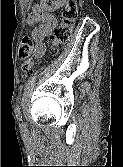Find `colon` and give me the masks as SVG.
Listing matches in <instances>:
<instances>
[{
  "label": "colon",
  "instance_id": "colon-1",
  "mask_svg": "<svg viewBox=\"0 0 123 167\" xmlns=\"http://www.w3.org/2000/svg\"><path fill=\"white\" fill-rule=\"evenodd\" d=\"M77 16L78 7L76 0H68L62 12L60 23L54 32L52 39L53 49L61 48L69 42ZM32 50V39L29 36H24L20 42L18 54L23 60L22 71L25 76L31 75L34 70V61L30 57Z\"/></svg>",
  "mask_w": 123,
  "mask_h": 167
}]
</instances>
